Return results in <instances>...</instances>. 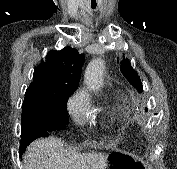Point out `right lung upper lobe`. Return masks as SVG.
I'll return each instance as SVG.
<instances>
[{
    "mask_svg": "<svg viewBox=\"0 0 177 169\" xmlns=\"http://www.w3.org/2000/svg\"><path fill=\"white\" fill-rule=\"evenodd\" d=\"M85 57L75 49L51 50L47 61L33 73L24 102H54L69 98L80 81Z\"/></svg>",
    "mask_w": 177,
    "mask_h": 169,
    "instance_id": "obj_1",
    "label": "right lung upper lobe"
}]
</instances>
